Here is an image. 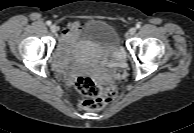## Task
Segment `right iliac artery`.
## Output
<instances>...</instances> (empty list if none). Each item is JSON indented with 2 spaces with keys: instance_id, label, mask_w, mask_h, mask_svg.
Segmentation results:
<instances>
[{
  "instance_id": "obj_1",
  "label": "right iliac artery",
  "mask_w": 194,
  "mask_h": 133,
  "mask_svg": "<svg viewBox=\"0 0 194 133\" xmlns=\"http://www.w3.org/2000/svg\"><path fill=\"white\" fill-rule=\"evenodd\" d=\"M46 24H47L48 26H50V25H51V21H47Z\"/></svg>"
}]
</instances>
